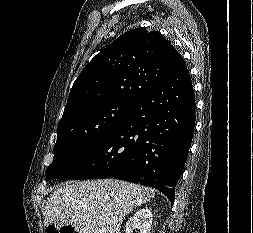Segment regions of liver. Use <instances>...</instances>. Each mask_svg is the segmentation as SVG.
<instances>
[{
    "label": "liver",
    "mask_w": 253,
    "mask_h": 233,
    "mask_svg": "<svg viewBox=\"0 0 253 233\" xmlns=\"http://www.w3.org/2000/svg\"><path fill=\"white\" fill-rule=\"evenodd\" d=\"M154 195L151 188L113 179L66 183L48 198L44 224L72 225L78 233H120L126 215Z\"/></svg>",
    "instance_id": "6515ba94"
}]
</instances>
